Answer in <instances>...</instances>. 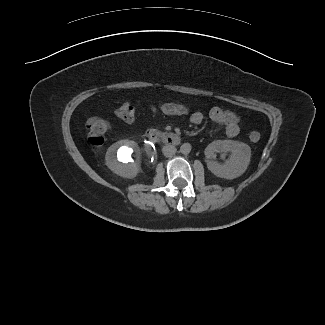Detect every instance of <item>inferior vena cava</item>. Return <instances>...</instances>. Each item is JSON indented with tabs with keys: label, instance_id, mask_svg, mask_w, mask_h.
<instances>
[{
	"label": "inferior vena cava",
	"instance_id": "1",
	"mask_svg": "<svg viewBox=\"0 0 325 325\" xmlns=\"http://www.w3.org/2000/svg\"><path fill=\"white\" fill-rule=\"evenodd\" d=\"M162 151L166 157H172L176 153V148L172 145H165L163 146Z\"/></svg>",
	"mask_w": 325,
	"mask_h": 325
}]
</instances>
